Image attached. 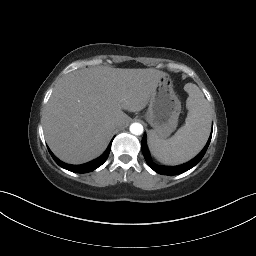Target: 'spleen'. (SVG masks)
Instances as JSON below:
<instances>
[{
	"instance_id": "3e777b00",
	"label": "spleen",
	"mask_w": 256,
	"mask_h": 256,
	"mask_svg": "<svg viewBox=\"0 0 256 256\" xmlns=\"http://www.w3.org/2000/svg\"><path fill=\"white\" fill-rule=\"evenodd\" d=\"M185 88L189 94L185 124L168 140L158 138L153 131L148 139L152 155L166 165L181 164L193 158L204 147L210 134L209 103L195 84L188 83Z\"/></svg>"
}]
</instances>
